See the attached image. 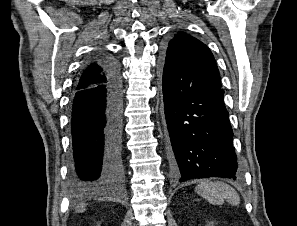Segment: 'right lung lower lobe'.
<instances>
[{"label": "right lung lower lobe", "instance_id": "right-lung-lower-lobe-1", "mask_svg": "<svg viewBox=\"0 0 297 226\" xmlns=\"http://www.w3.org/2000/svg\"><path fill=\"white\" fill-rule=\"evenodd\" d=\"M102 83L75 90L71 110L75 193L91 192L123 180L121 161L122 96L117 64L103 58Z\"/></svg>", "mask_w": 297, "mask_h": 226}]
</instances>
